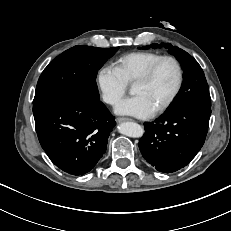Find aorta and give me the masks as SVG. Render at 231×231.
Instances as JSON below:
<instances>
[{"mask_svg": "<svg viewBox=\"0 0 231 231\" xmlns=\"http://www.w3.org/2000/svg\"><path fill=\"white\" fill-rule=\"evenodd\" d=\"M119 133L133 137L139 138L144 134V129L141 125L134 122H124L118 126Z\"/></svg>", "mask_w": 231, "mask_h": 231, "instance_id": "1", "label": "aorta"}]
</instances>
